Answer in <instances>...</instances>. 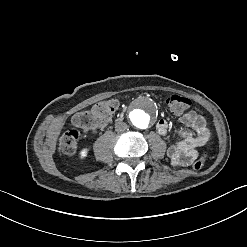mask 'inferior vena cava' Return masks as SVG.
I'll use <instances>...</instances> for the list:
<instances>
[{"label": "inferior vena cava", "instance_id": "inferior-vena-cava-1", "mask_svg": "<svg viewBox=\"0 0 247 247\" xmlns=\"http://www.w3.org/2000/svg\"><path fill=\"white\" fill-rule=\"evenodd\" d=\"M127 129V124L125 122H118L115 126L117 132H124Z\"/></svg>", "mask_w": 247, "mask_h": 247}]
</instances>
